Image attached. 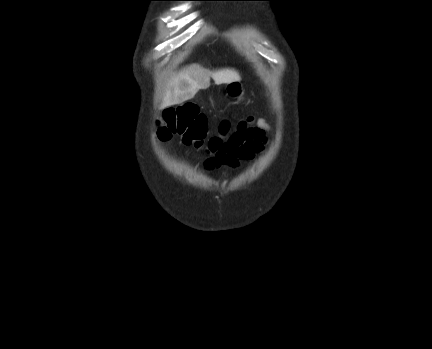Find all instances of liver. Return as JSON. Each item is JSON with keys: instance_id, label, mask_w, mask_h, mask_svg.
I'll list each match as a JSON object with an SVG mask.
<instances>
[{"instance_id": "liver-1", "label": "liver", "mask_w": 432, "mask_h": 349, "mask_svg": "<svg viewBox=\"0 0 432 349\" xmlns=\"http://www.w3.org/2000/svg\"><path fill=\"white\" fill-rule=\"evenodd\" d=\"M210 77L216 85L241 80L239 73L234 69L211 72L197 64L189 65L168 81L161 107L181 104L192 99L200 89L209 86Z\"/></svg>"}]
</instances>
